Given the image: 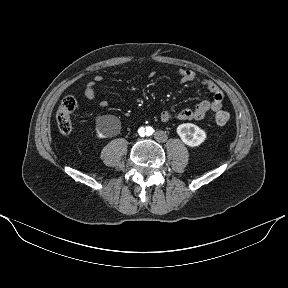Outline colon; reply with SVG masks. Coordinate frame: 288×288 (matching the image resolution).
Returning <instances> with one entry per match:
<instances>
[{
    "label": "colon",
    "mask_w": 288,
    "mask_h": 288,
    "mask_svg": "<svg viewBox=\"0 0 288 288\" xmlns=\"http://www.w3.org/2000/svg\"><path fill=\"white\" fill-rule=\"evenodd\" d=\"M76 109V100L65 97L56 112V121L59 131L62 134H69L73 129V114ZM230 115L226 111L219 110L215 114V122L219 126H224L229 122Z\"/></svg>",
    "instance_id": "obj_1"
}]
</instances>
